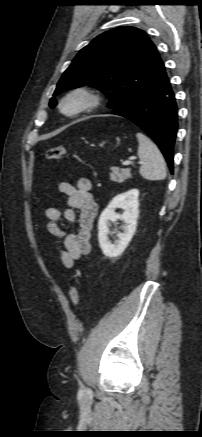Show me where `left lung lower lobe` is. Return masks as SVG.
I'll return each mask as SVG.
<instances>
[{
  "label": "left lung lower lobe",
  "mask_w": 202,
  "mask_h": 437,
  "mask_svg": "<svg viewBox=\"0 0 202 437\" xmlns=\"http://www.w3.org/2000/svg\"><path fill=\"white\" fill-rule=\"evenodd\" d=\"M112 114L131 120L158 145L173 173V147L178 128L177 106L165 68Z\"/></svg>",
  "instance_id": "left-lung-lower-lobe-1"
}]
</instances>
